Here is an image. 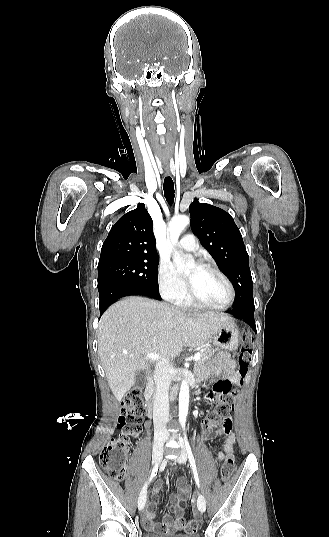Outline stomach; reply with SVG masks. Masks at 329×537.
I'll use <instances>...</instances> for the list:
<instances>
[{
	"mask_svg": "<svg viewBox=\"0 0 329 537\" xmlns=\"http://www.w3.org/2000/svg\"><path fill=\"white\" fill-rule=\"evenodd\" d=\"M239 329L231 321L229 324L221 327L212 337L213 344L229 351H234L239 343Z\"/></svg>",
	"mask_w": 329,
	"mask_h": 537,
	"instance_id": "stomach-1",
	"label": "stomach"
}]
</instances>
